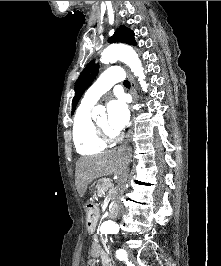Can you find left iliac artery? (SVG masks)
<instances>
[{
  "mask_svg": "<svg viewBox=\"0 0 221 266\" xmlns=\"http://www.w3.org/2000/svg\"><path fill=\"white\" fill-rule=\"evenodd\" d=\"M116 256L119 260H126L127 259V254H126V251L124 249H117Z\"/></svg>",
  "mask_w": 221,
  "mask_h": 266,
  "instance_id": "1",
  "label": "left iliac artery"
}]
</instances>
